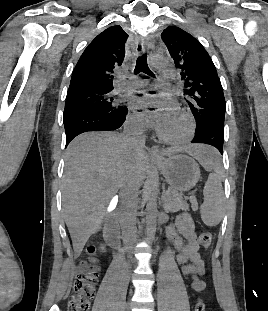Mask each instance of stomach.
I'll list each match as a JSON object with an SVG mask.
<instances>
[{
  "mask_svg": "<svg viewBox=\"0 0 268 311\" xmlns=\"http://www.w3.org/2000/svg\"><path fill=\"white\" fill-rule=\"evenodd\" d=\"M155 162L171 189L175 191H188L200 179L198 164L192 157L182 152L174 153L168 158L158 157Z\"/></svg>",
  "mask_w": 268,
  "mask_h": 311,
  "instance_id": "obj_1",
  "label": "stomach"
}]
</instances>
